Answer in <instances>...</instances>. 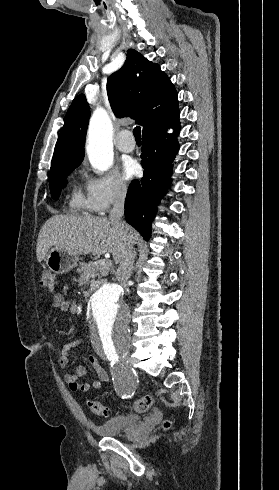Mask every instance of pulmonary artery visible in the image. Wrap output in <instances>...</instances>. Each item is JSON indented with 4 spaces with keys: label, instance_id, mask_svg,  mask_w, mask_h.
<instances>
[{
    "label": "pulmonary artery",
    "instance_id": "obj_1",
    "mask_svg": "<svg viewBox=\"0 0 279 490\" xmlns=\"http://www.w3.org/2000/svg\"><path fill=\"white\" fill-rule=\"evenodd\" d=\"M120 137H115V146L121 152L130 153L135 149L136 146V137H129L131 131L129 128H120L118 131Z\"/></svg>",
    "mask_w": 279,
    "mask_h": 490
}]
</instances>
